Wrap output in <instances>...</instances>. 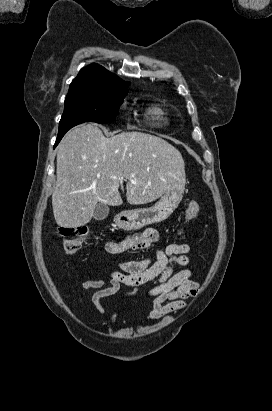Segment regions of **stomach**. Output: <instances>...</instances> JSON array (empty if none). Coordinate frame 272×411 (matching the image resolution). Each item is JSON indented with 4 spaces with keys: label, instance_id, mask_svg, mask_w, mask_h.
Segmentation results:
<instances>
[{
    "label": "stomach",
    "instance_id": "1",
    "mask_svg": "<svg viewBox=\"0 0 272 411\" xmlns=\"http://www.w3.org/2000/svg\"><path fill=\"white\" fill-rule=\"evenodd\" d=\"M184 188L173 187L152 207L127 210L117 214L115 224L122 230L141 229L166 220L178 207Z\"/></svg>",
    "mask_w": 272,
    "mask_h": 411
}]
</instances>
